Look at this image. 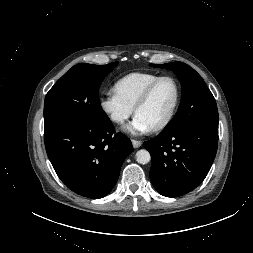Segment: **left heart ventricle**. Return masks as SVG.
I'll list each match as a JSON object with an SVG mask.
<instances>
[{
  "label": "left heart ventricle",
  "instance_id": "1",
  "mask_svg": "<svg viewBox=\"0 0 253 253\" xmlns=\"http://www.w3.org/2000/svg\"><path fill=\"white\" fill-rule=\"evenodd\" d=\"M175 86L171 80H163L153 91L148 102L142 106L136 115L154 128L169 114L175 100Z\"/></svg>",
  "mask_w": 253,
  "mask_h": 253
}]
</instances>
